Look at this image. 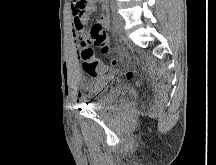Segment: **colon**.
<instances>
[{
  "instance_id": "1",
  "label": "colon",
  "mask_w": 216,
  "mask_h": 165,
  "mask_svg": "<svg viewBox=\"0 0 216 165\" xmlns=\"http://www.w3.org/2000/svg\"><path fill=\"white\" fill-rule=\"evenodd\" d=\"M72 6L75 9V5H86V0H71ZM91 45L100 47L105 55L109 54V47L107 45V34L104 27L100 23H95L89 32V38L87 42L81 45L80 58L83 61L85 68L89 72H94L97 74L102 73L106 69V65L100 60L96 59L94 56V50ZM116 61H112V65H115ZM126 78L129 81L135 80V74L133 71L126 72ZM138 85L140 81L135 80Z\"/></svg>"
}]
</instances>
